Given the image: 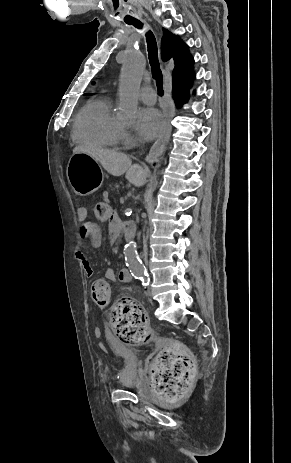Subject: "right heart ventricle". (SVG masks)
I'll return each instance as SVG.
<instances>
[{"label": "right heart ventricle", "mask_w": 291, "mask_h": 463, "mask_svg": "<svg viewBox=\"0 0 291 463\" xmlns=\"http://www.w3.org/2000/svg\"><path fill=\"white\" fill-rule=\"evenodd\" d=\"M72 136L81 145L116 147L122 140V127L111 113L110 99H94L83 106L75 117Z\"/></svg>", "instance_id": "1"}]
</instances>
